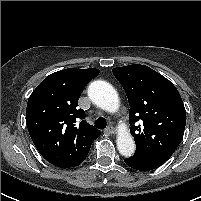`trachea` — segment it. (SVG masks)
<instances>
[{
	"label": "trachea",
	"instance_id": "obj_1",
	"mask_svg": "<svg viewBox=\"0 0 201 201\" xmlns=\"http://www.w3.org/2000/svg\"><path fill=\"white\" fill-rule=\"evenodd\" d=\"M95 126L99 129H104L107 126V122L106 119L103 117H99L96 119L95 121Z\"/></svg>",
	"mask_w": 201,
	"mask_h": 201
}]
</instances>
